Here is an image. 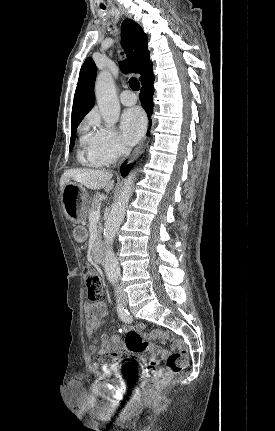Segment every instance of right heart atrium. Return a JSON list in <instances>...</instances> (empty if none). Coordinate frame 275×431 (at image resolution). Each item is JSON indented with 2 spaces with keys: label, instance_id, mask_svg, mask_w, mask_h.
<instances>
[{
  "label": "right heart atrium",
  "instance_id": "1",
  "mask_svg": "<svg viewBox=\"0 0 275 431\" xmlns=\"http://www.w3.org/2000/svg\"><path fill=\"white\" fill-rule=\"evenodd\" d=\"M87 129L82 136V143L87 148L91 160L110 164L127 151L118 133L112 127L102 124L97 116H90Z\"/></svg>",
  "mask_w": 275,
  "mask_h": 431
}]
</instances>
